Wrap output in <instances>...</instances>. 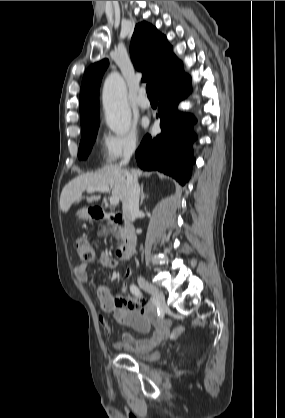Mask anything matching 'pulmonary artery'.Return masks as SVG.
<instances>
[{"label":"pulmonary artery","mask_w":285,"mask_h":418,"mask_svg":"<svg viewBox=\"0 0 285 418\" xmlns=\"http://www.w3.org/2000/svg\"><path fill=\"white\" fill-rule=\"evenodd\" d=\"M136 103L142 110H147L151 107V103L146 97L145 89L140 90V95L137 98Z\"/></svg>","instance_id":"1"}]
</instances>
